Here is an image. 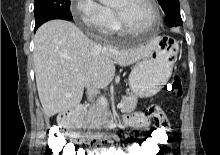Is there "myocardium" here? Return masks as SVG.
I'll use <instances>...</instances> for the list:
<instances>
[{"instance_id": "1", "label": "myocardium", "mask_w": 220, "mask_h": 155, "mask_svg": "<svg viewBox=\"0 0 220 155\" xmlns=\"http://www.w3.org/2000/svg\"><path fill=\"white\" fill-rule=\"evenodd\" d=\"M145 1L147 2V4L150 7L151 21L146 27L141 28V29L131 27L126 22V20L123 18L121 13L117 9H114L116 18H117V20H118V22L124 32L131 33V34H144V33L151 31L152 29H154L157 26V24L159 22V12H158L156 0H145Z\"/></svg>"}]
</instances>
